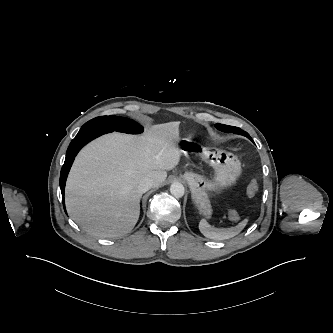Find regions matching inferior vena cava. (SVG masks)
<instances>
[{"label": "inferior vena cava", "mask_w": 333, "mask_h": 333, "mask_svg": "<svg viewBox=\"0 0 333 333\" xmlns=\"http://www.w3.org/2000/svg\"><path fill=\"white\" fill-rule=\"evenodd\" d=\"M153 186V181L149 178L142 179L138 184V190L142 193H145Z\"/></svg>", "instance_id": "obj_1"}]
</instances>
